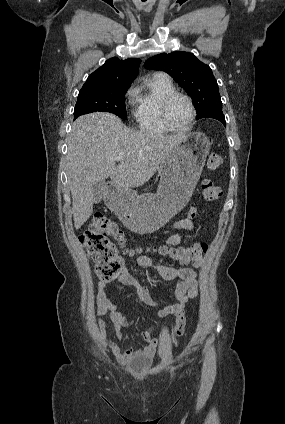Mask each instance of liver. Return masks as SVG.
I'll list each match as a JSON object with an SVG mask.
<instances>
[{"label":"liver","instance_id":"6515ba94","mask_svg":"<svg viewBox=\"0 0 285 424\" xmlns=\"http://www.w3.org/2000/svg\"><path fill=\"white\" fill-rule=\"evenodd\" d=\"M185 135H165L128 128L115 115L95 112L72 124L66 173L72 196L75 229L93 213V187L110 177L118 190L142 186L159 169ZM124 154L118 165L115 157Z\"/></svg>","mask_w":285,"mask_h":424}]
</instances>
